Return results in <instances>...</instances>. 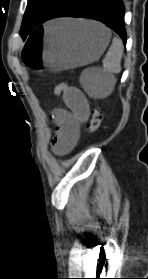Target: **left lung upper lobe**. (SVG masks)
Listing matches in <instances>:
<instances>
[{
    "label": "left lung upper lobe",
    "mask_w": 148,
    "mask_h": 279,
    "mask_svg": "<svg viewBox=\"0 0 148 279\" xmlns=\"http://www.w3.org/2000/svg\"><path fill=\"white\" fill-rule=\"evenodd\" d=\"M66 0H28L27 8L21 26V37L36 30L45 22Z\"/></svg>",
    "instance_id": "left-lung-upper-lobe-1"
}]
</instances>
